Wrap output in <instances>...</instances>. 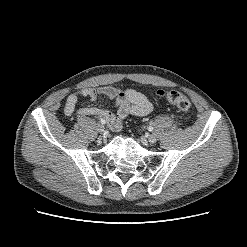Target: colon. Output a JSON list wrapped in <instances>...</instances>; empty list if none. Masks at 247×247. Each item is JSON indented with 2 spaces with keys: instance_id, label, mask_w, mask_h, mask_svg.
I'll list each match as a JSON object with an SVG mask.
<instances>
[{
  "instance_id": "obj_1",
  "label": "colon",
  "mask_w": 247,
  "mask_h": 247,
  "mask_svg": "<svg viewBox=\"0 0 247 247\" xmlns=\"http://www.w3.org/2000/svg\"><path fill=\"white\" fill-rule=\"evenodd\" d=\"M157 95L159 97L164 98L169 104L176 107L177 109L181 111H188L191 107L190 100L183 95L182 93L175 91V90H169V91H163L159 90L157 92Z\"/></svg>"
}]
</instances>
